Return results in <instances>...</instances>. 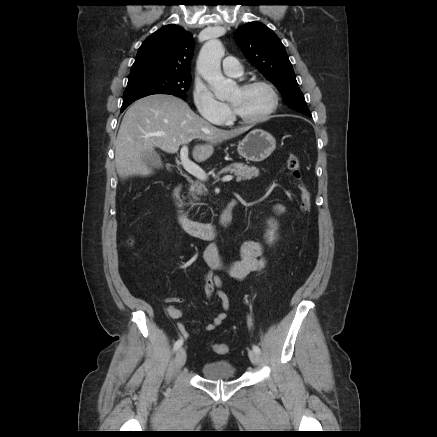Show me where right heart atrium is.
<instances>
[{"mask_svg":"<svg viewBox=\"0 0 437 437\" xmlns=\"http://www.w3.org/2000/svg\"><path fill=\"white\" fill-rule=\"evenodd\" d=\"M193 102L199 115L213 123H222L229 116V107L217 99L208 87L196 83L193 88Z\"/></svg>","mask_w":437,"mask_h":437,"instance_id":"obj_1","label":"right heart atrium"}]
</instances>
